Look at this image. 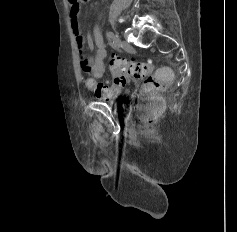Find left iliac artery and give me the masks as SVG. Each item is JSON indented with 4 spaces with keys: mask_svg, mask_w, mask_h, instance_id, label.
I'll use <instances>...</instances> for the list:
<instances>
[{
    "mask_svg": "<svg viewBox=\"0 0 237 232\" xmlns=\"http://www.w3.org/2000/svg\"><path fill=\"white\" fill-rule=\"evenodd\" d=\"M107 37H108V38L115 39L116 36L114 35L113 32H108V33H107Z\"/></svg>",
    "mask_w": 237,
    "mask_h": 232,
    "instance_id": "44dca946",
    "label": "left iliac artery"
}]
</instances>
